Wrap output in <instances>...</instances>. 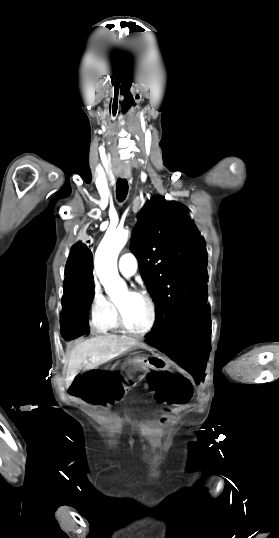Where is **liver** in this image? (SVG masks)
I'll list each match as a JSON object with an SVG mask.
<instances>
[{"mask_svg": "<svg viewBox=\"0 0 279 538\" xmlns=\"http://www.w3.org/2000/svg\"><path fill=\"white\" fill-rule=\"evenodd\" d=\"M133 346H141V344H138L133 338L114 336V334L96 336V338L82 342L70 354L66 376L67 384L73 382L82 364L84 370H94V368L109 362L112 358L125 354Z\"/></svg>", "mask_w": 279, "mask_h": 538, "instance_id": "1", "label": "liver"}]
</instances>
